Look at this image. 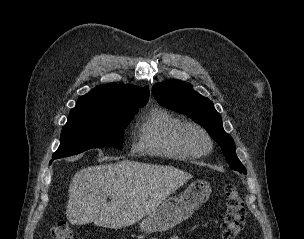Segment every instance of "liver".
<instances>
[{
  "label": "liver",
  "mask_w": 304,
  "mask_h": 239,
  "mask_svg": "<svg viewBox=\"0 0 304 239\" xmlns=\"http://www.w3.org/2000/svg\"><path fill=\"white\" fill-rule=\"evenodd\" d=\"M191 178L172 166L130 160L83 168L69 185L66 216L73 225L127 227L149 215Z\"/></svg>",
  "instance_id": "6515ba94"
}]
</instances>
